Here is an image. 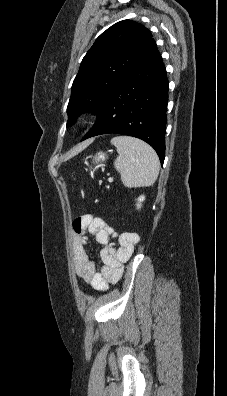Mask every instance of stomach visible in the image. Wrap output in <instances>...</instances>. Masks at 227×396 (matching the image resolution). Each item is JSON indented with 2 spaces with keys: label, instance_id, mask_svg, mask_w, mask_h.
Masks as SVG:
<instances>
[{
  "label": "stomach",
  "instance_id": "0dacf381",
  "mask_svg": "<svg viewBox=\"0 0 227 396\" xmlns=\"http://www.w3.org/2000/svg\"><path fill=\"white\" fill-rule=\"evenodd\" d=\"M106 160V155L103 152H98L95 157L93 158V163L96 164V167L101 166L100 163Z\"/></svg>",
  "mask_w": 227,
  "mask_h": 396
}]
</instances>
